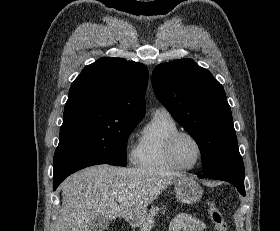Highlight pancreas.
I'll use <instances>...</instances> for the list:
<instances>
[{"mask_svg":"<svg viewBox=\"0 0 280 231\" xmlns=\"http://www.w3.org/2000/svg\"><path fill=\"white\" fill-rule=\"evenodd\" d=\"M160 209H163L165 211L166 207H151L147 217H145L144 221H140L139 225L137 227H140V231H149L151 229L152 225H155V215H157L158 211ZM162 211V213H163Z\"/></svg>","mask_w":280,"mask_h":231,"instance_id":"cf45deb5","label":"pancreas"}]
</instances>
